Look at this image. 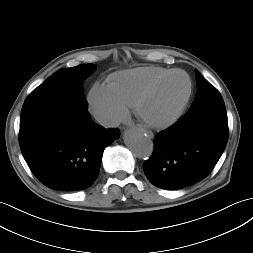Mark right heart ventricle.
Wrapping results in <instances>:
<instances>
[{
    "label": "right heart ventricle",
    "mask_w": 253,
    "mask_h": 253,
    "mask_svg": "<svg viewBox=\"0 0 253 253\" xmlns=\"http://www.w3.org/2000/svg\"><path fill=\"white\" fill-rule=\"evenodd\" d=\"M171 70L158 66L124 70L112 75L108 85L127 107H134L139 95L157 78Z\"/></svg>",
    "instance_id": "1"
}]
</instances>
